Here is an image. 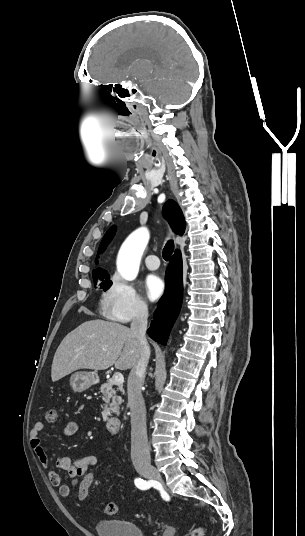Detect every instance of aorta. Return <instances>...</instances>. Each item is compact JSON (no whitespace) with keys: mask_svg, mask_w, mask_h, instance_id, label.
<instances>
[{"mask_svg":"<svg viewBox=\"0 0 305 536\" xmlns=\"http://www.w3.org/2000/svg\"><path fill=\"white\" fill-rule=\"evenodd\" d=\"M149 237L148 230L142 227L134 231L121 246L117 258V270L125 280L131 281L137 277Z\"/></svg>","mask_w":305,"mask_h":536,"instance_id":"aorta-1","label":"aorta"}]
</instances>
